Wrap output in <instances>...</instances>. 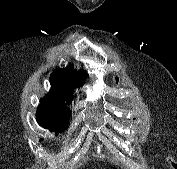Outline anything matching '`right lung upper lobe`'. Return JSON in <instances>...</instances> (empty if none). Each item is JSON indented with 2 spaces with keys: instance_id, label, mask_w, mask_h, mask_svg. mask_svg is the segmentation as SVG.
I'll use <instances>...</instances> for the list:
<instances>
[{
  "instance_id": "cb5924a9",
  "label": "right lung upper lobe",
  "mask_w": 177,
  "mask_h": 169,
  "mask_svg": "<svg viewBox=\"0 0 177 169\" xmlns=\"http://www.w3.org/2000/svg\"><path fill=\"white\" fill-rule=\"evenodd\" d=\"M85 71L79 72L73 67H66L55 70L50 76L51 89L44 97L40 106L50 108L65 102L71 101L75 87L83 85V80L87 78Z\"/></svg>"
}]
</instances>
